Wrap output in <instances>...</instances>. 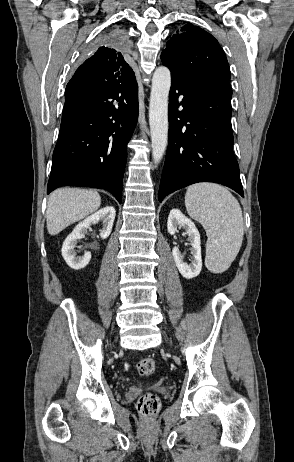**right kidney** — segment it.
Returning <instances> with one entry per match:
<instances>
[{"label":"right kidney","mask_w":294,"mask_h":462,"mask_svg":"<svg viewBox=\"0 0 294 462\" xmlns=\"http://www.w3.org/2000/svg\"><path fill=\"white\" fill-rule=\"evenodd\" d=\"M115 214V209L112 206L104 207L80 222L67 236L61 251L64 260L70 268L80 270L87 266L91 259V252L86 251L82 257H77L75 247L78 240L85 237L87 230L92 224H96L100 221L103 224L100 237L106 239L112 231Z\"/></svg>","instance_id":"right-kidney-1"}]
</instances>
